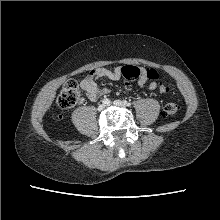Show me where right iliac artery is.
<instances>
[{"mask_svg": "<svg viewBox=\"0 0 220 220\" xmlns=\"http://www.w3.org/2000/svg\"><path fill=\"white\" fill-rule=\"evenodd\" d=\"M102 102H103L104 104H109V103H110V100L106 98V99H103Z\"/></svg>", "mask_w": 220, "mask_h": 220, "instance_id": "obj_1", "label": "right iliac artery"}]
</instances>
